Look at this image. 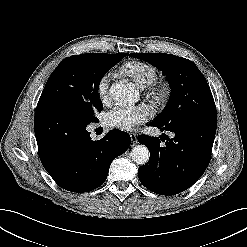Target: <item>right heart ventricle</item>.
Listing matches in <instances>:
<instances>
[{"label": "right heart ventricle", "instance_id": "1", "mask_svg": "<svg viewBox=\"0 0 247 247\" xmlns=\"http://www.w3.org/2000/svg\"><path fill=\"white\" fill-rule=\"evenodd\" d=\"M121 71L140 87L153 83L157 78L156 69L142 62H130L126 64Z\"/></svg>", "mask_w": 247, "mask_h": 247}]
</instances>
